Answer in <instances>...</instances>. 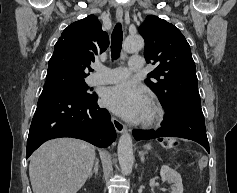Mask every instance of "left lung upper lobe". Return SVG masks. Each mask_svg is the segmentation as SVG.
<instances>
[{"instance_id":"left-lung-upper-lobe-1","label":"left lung upper lobe","mask_w":237,"mask_h":193,"mask_svg":"<svg viewBox=\"0 0 237 193\" xmlns=\"http://www.w3.org/2000/svg\"><path fill=\"white\" fill-rule=\"evenodd\" d=\"M139 32L145 39L147 63L156 65L145 83L156 93L161 105L171 114L185 108H201L195 63L180 30L157 16L149 15Z\"/></svg>"}]
</instances>
